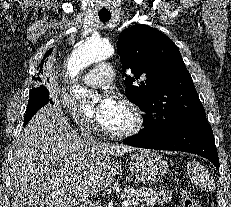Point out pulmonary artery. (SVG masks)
I'll use <instances>...</instances> for the list:
<instances>
[{
    "mask_svg": "<svg viewBox=\"0 0 231 207\" xmlns=\"http://www.w3.org/2000/svg\"><path fill=\"white\" fill-rule=\"evenodd\" d=\"M115 73L109 63H99L84 77L85 83L90 87H100L114 79Z\"/></svg>",
    "mask_w": 231,
    "mask_h": 207,
    "instance_id": "e3ab8cb5",
    "label": "pulmonary artery"
}]
</instances>
